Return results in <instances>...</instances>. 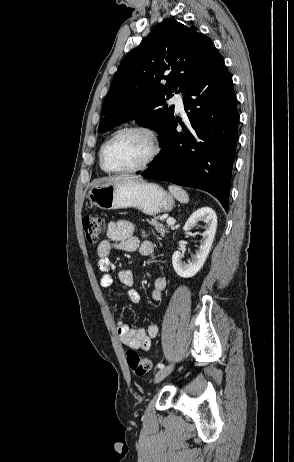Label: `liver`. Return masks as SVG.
<instances>
[{"instance_id": "1", "label": "liver", "mask_w": 294, "mask_h": 462, "mask_svg": "<svg viewBox=\"0 0 294 462\" xmlns=\"http://www.w3.org/2000/svg\"><path fill=\"white\" fill-rule=\"evenodd\" d=\"M126 178L139 179V177L135 176V175H121V176H118V177L111 178L109 180V182L114 181V180L126 179Z\"/></svg>"}]
</instances>
